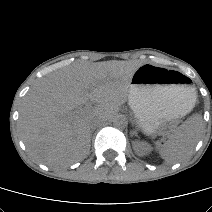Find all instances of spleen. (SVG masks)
<instances>
[{"label": "spleen", "mask_w": 212, "mask_h": 212, "mask_svg": "<svg viewBox=\"0 0 212 212\" xmlns=\"http://www.w3.org/2000/svg\"><path fill=\"white\" fill-rule=\"evenodd\" d=\"M203 130L200 118L185 121L162 145L157 146L160 156L167 163H176L189 157Z\"/></svg>", "instance_id": "spleen-1"}]
</instances>
